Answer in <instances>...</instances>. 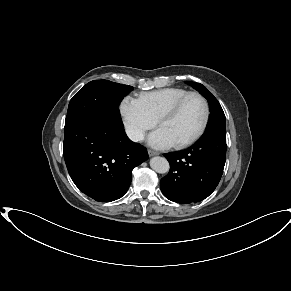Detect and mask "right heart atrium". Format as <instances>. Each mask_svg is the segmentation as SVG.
Wrapping results in <instances>:
<instances>
[{"label": "right heart atrium", "instance_id": "right-heart-atrium-1", "mask_svg": "<svg viewBox=\"0 0 291 291\" xmlns=\"http://www.w3.org/2000/svg\"><path fill=\"white\" fill-rule=\"evenodd\" d=\"M120 114L129 138L133 141H140L146 131L156 125V121L146 111L139 99L126 96L120 105Z\"/></svg>", "mask_w": 291, "mask_h": 291}]
</instances>
